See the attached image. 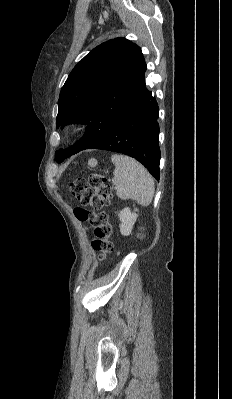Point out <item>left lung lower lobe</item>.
Returning <instances> with one entry per match:
<instances>
[{"mask_svg": "<svg viewBox=\"0 0 232 399\" xmlns=\"http://www.w3.org/2000/svg\"><path fill=\"white\" fill-rule=\"evenodd\" d=\"M159 107L143 78L138 92L108 133L90 149L126 154L143 164L159 180Z\"/></svg>", "mask_w": 232, "mask_h": 399, "instance_id": "obj_1", "label": "left lung lower lobe"}]
</instances>
